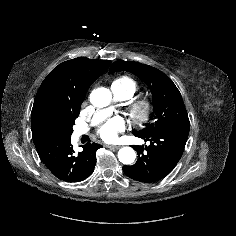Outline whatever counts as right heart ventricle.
<instances>
[{"instance_id":"e07e8e85","label":"right heart ventricle","mask_w":236,"mask_h":236,"mask_svg":"<svg viewBox=\"0 0 236 236\" xmlns=\"http://www.w3.org/2000/svg\"><path fill=\"white\" fill-rule=\"evenodd\" d=\"M112 85H116L125 91L128 98L132 97L138 89L137 83L127 76H122L115 79Z\"/></svg>"}]
</instances>
